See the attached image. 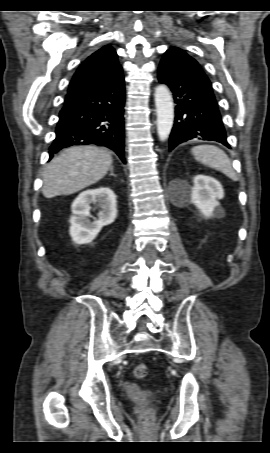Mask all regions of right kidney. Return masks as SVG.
I'll return each mask as SVG.
<instances>
[{"label": "right kidney", "instance_id": "obj_1", "mask_svg": "<svg viewBox=\"0 0 270 453\" xmlns=\"http://www.w3.org/2000/svg\"><path fill=\"white\" fill-rule=\"evenodd\" d=\"M91 204L100 208L98 219L93 222L89 219ZM71 209L70 236L76 244H87L96 238L103 226L117 217L116 195L107 187L86 190L73 201Z\"/></svg>", "mask_w": 270, "mask_h": 453}]
</instances>
